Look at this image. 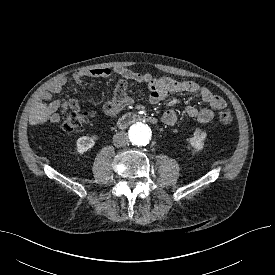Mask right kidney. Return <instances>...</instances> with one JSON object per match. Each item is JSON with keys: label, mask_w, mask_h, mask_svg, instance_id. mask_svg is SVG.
<instances>
[{"label": "right kidney", "mask_w": 275, "mask_h": 275, "mask_svg": "<svg viewBox=\"0 0 275 275\" xmlns=\"http://www.w3.org/2000/svg\"><path fill=\"white\" fill-rule=\"evenodd\" d=\"M95 145V141L93 138L88 136L80 137L77 140V151L80 154H83L84 152H87L89 149H91Z\"/></svg>", "instance_id": "obj_1"}]
</instances>
